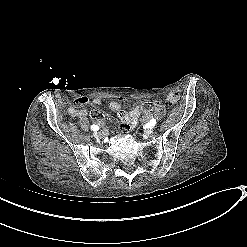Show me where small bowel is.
Segmentation results:
<instances>
[{
	"label": "small bowel",
	"mask_w": 247,
	"mask_h": 247,
	"mask_svg": "<svg viewBox=\"0 0 247 247\" xmlns=\"http://www.w3.org/2000/svg\"><path fill=\"white\" fill-rule=\"evenodd\" d=\"M121 100V99H120ZM167 100L175 104L179 100L178 93H170L167 96ZM99 106L102 103V100L99 97L92 98L91 100L86 96H80L75 100V104L71 106L68 110L69 114L71 116H79L82 118H86L90 116L97 122H102L104 120V115L98 111H88L84 109H80L79 107H82L84 105H87L90 103ZM108 107L111 111L115 112L119 121H120V131L121 133H128L131 130H133L139 120L141 119L143 122H147L151 120L152 118H160L163 115V109L161 107H158L154 113L146 112L142 114V110L139 106L134 107L131 111H126L119 100L117 101H111L108 104Z\"/></svg>",
	"instance_id": "1"
}]
</instances>
